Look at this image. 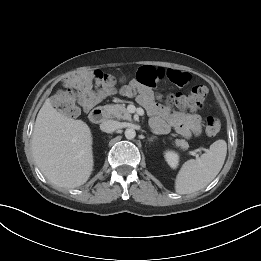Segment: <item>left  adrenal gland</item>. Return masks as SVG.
<instances>
[{
  "label": "left adrenal gland",
  "mask_w": 261,
  "mask_h": 261,
  "mask_svg": "<svg viewBox=\"0 0 261 261\" xmlns=\"http://www.w3.org/2000/svg\"><path fill=\"white\" fill-rule=\"evenodd\" d=\"M155 139H157V137L156 136H152V137L148 138V141L149 142H153V140H155Z\"/></svg>",
  "instance_id": "a2214340"
}]
</instances>
